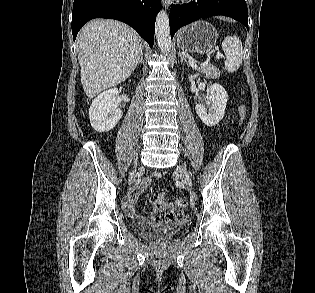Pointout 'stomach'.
I'll return each mask as SVG.
<instances>
[{
    "instance_id": "0dacf381",
    "label": "stomach",
    "mask_w": 315,
    "mask_h": 293,
    "mask_svg": "<svg viewBox=\"0 0 315 293\" xmlns=\"http://www.w3.org/2000/svg\"><path fill=\"white\" fill-rule=\"evenodd\" d=\"M216 29L206 21H197L184 27L177 36V45L183 51L208 54L216 44Z\"/></svg>"
}]
</instances>
